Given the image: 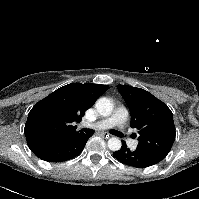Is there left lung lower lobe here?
Instances as JSON below:
<instances>
[{
    "instance_id": "1",
    "label": "left lung lower lobe",
    "mask_w": 199,
    "mask_h": 199,
    "mask_svg": "<svg viewBox=\"0 0 199 199\" xmlns=\"http://www.w3.org/2000/svg\"><path fill=\"white\" fill-rule=\"evenodd\" d=\"M113 156L123 164L141 168L152 166L165 158V156L139 147L131 151L123 140L121 149L114 152Z\"/></svg>"
}]
</instances>
